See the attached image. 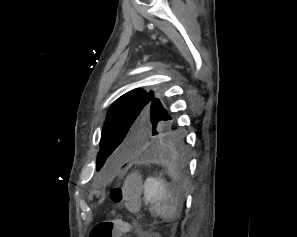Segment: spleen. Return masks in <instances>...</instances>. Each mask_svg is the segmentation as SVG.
Segmentation results:
<instances>
[{"mask_svg":"<svg viewBox=\"0 0 297 237\" xmlns=\"http://www.w3.org/2000/svg\"><path fill=\"white\" fill-rule=\"evenodd\" d=\"M144 196L153 205L158 216L173 221L179 215L178 200L173 190L159 178H147Z\"/></svg>","mask_w":297,"mask_h":237,"instance_id":"spleen-1","label":"spleen"}]
</instances>
